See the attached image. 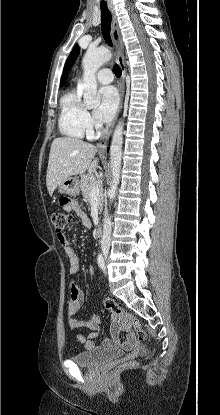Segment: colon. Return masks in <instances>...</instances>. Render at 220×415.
Masks as SVG:
<instances>
[{
    "label": "colon",
    "mask_w": 220,
    "mask_h": 415,
    "mask_svg": "<svg viewBox=\"0 0 220 415\" xmlns=\"http://www.w3.org/2000/svg\"><path fill=\"white\" fill-rule=\"evenodd\" d=\"M69 219L70 215L66 211L56 210L51 213V222L55 230L57 231V234L62 233V231L68 224ZM102 302L105 309L110 311L115 317L119 319H124L131 323L140 340H144L146 338V333L140 321L137 319L135 315H133L131 312L127 311L126 309H124L108 297H103Z\"/></svg>",
    "instance_id": "1"
}]
</instances>
